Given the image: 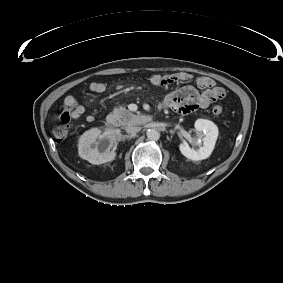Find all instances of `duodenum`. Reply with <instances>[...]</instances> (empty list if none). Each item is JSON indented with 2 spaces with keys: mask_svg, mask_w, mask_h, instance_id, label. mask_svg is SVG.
<instances>
[{
  "mask_svg": "<svg viewBox=\"0 0 283 283\" xmlns=\"http://www.w3.org/2000/svg\"><path fill=\"white\" fill-rule=\"evenodd\" d=\"M106 122L109 127H114L116 125V119L112 115L107 116Z\"/></svg>",
  "mask_w": 283,
  "mask_h": 283,
  "instance_id": "duodenum-1",
  "label": "duodenum"
}]
</instances>
